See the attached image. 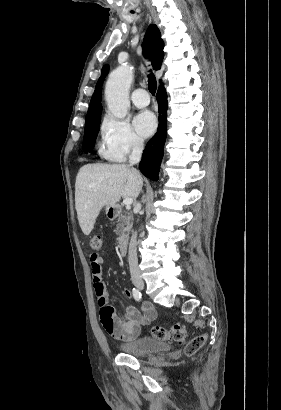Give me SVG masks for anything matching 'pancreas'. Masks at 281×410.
I'll return each instance as SVG.
<instances>
[{
  "label": "pancreas",
  "instance_id": "pancreas-1",
  "mask_svg": "<svg viewBox=\"0 0 281 410\" xmlns=\"http://www.w3.org/2000/svg\"><path fill=\"white\" fill-rule=\"evenodd\" d=\"M133 218L130 213H123L121 208L118 209V221H117V241L120 243L123 239L128 237V234L132 228Z\"/></svg>",
  "mask_w": 281,
  "mask_h": 410
}]
</instances>
